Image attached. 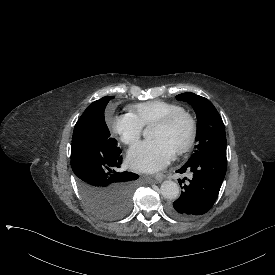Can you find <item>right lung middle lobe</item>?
I'll return each instance as SVG.
<instances>
[{
	"instance_id": "right-lung-middle-lobe-1",
	"label": "right lung middle lobe",
	"mask_w": 275,
	"mask_h": 275,
	"mask_svg": "<svg viewBox=\"0 0 275 275\" xmlns=\"http://www.w3.org/2000/svg\"><path fill=\"white\" fill-rule=\"evenodd\" d=\"M112 96L93 102L75 125L71 167L79 191L97 216L118 219L131 208L139 175L127 172L117 140L110 137L104 110Z\"/></svg>"
}]
</instances>
